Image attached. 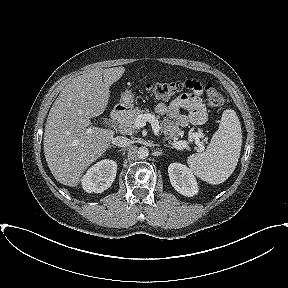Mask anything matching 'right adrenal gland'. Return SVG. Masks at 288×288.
<instances>
[{
    "mask_svg": "<svg viewBox=\"0 0 288 288\" xmlns=\"http://www.w3.org/2000/svg\"><path fill=\"white\" fill-rule=\"evenodd\" d=\"M112 147H113V148H116L115 146H110V148H112Z\"/></svg>",
    "mask_w": 288,
    "mask_h": 288,
    "instance_id": "1",
    "label": "right adrenal gland"
}]
</instances>
